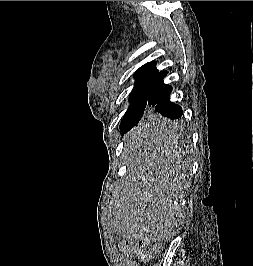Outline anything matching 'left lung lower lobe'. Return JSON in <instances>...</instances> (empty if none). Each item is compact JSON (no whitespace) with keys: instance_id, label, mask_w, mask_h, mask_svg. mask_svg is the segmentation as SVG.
<instances>
[{"instance_id":"obj_1","label":"left lung lower lobe","mask_w":253,"mask_h":266,"mask_svg":"<svg viewBox=\"0 0 253 266\" xmlns=\"http://www.w3.org/2000/svg\"><path fill=\"white\" fill-rule=\"evenodd\" d=\"M166 75L167 71L157 72L149 90L146 104V112H150L151 110H153L164 117L170 119H177L180 118L183 114L182 108L174 103H171L169 100V95L171 93L172 88L171 86L165 85L163 83V79ZM151 126L154 131L162 134L170 131L173 128L174 124L170 123L168 120L159 118L152 121ZM132 127L122 126V124H120V129L122 133L129 131Z\"/></svg>"}]
</instances>
